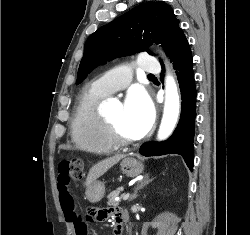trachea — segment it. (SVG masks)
<instances>
[{
	"label": "trachea",
	"instance_id": "obj_1",
	"mask_svg": "<svg viewBox=\"0 0 250 235\" xmlns=\"http://www.w3.org/2000/svg\"><path fill=\"white\" fill-rule=\"evenodd\" d=\"M148 77H154V75L153 74H149Z\"/></svg>",
	"mask_w": 250,
	"mask_h": 235
}]
</instances>
